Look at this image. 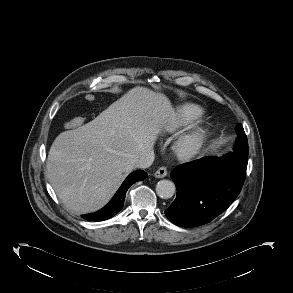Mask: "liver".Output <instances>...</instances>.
Instances as JSON below:
<instances>
[{"label": "liver", "instance_id": "6515ba94", "mask_svg": "<svg viewBox=\"0 0 293 293\" xmlns=\"http://www.w3.org/2000/svg\"><path fill=\"white\" fill-rule=\"evenodd\" d=\"M173 117L164 94L137 86L94 120L60 133L46 174L65 208L90 213L106 205Z\"/></svg>", "mask_w": 293, "mask_h": 293}]
</instances>
